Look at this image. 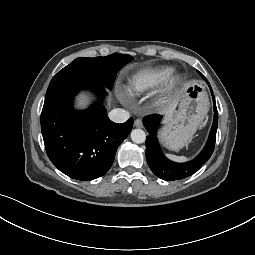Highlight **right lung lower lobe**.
I'll list each match as a JSON object with an SVG mask.
<instances>
[{
	"mask_svg": "<svg viewBox=\"0 0 255 255\" xmlns=\"http://www.w3.org/2000/svg\"><path fill=\"white\" fill-rule=\"evenodd\" d=\"M84 88L99 95L105 93L103 85L86 80L50 84L41 113V130L51 162L67 176L89 181L110 169L117 148L131 132L133 119L114 123L101 103L83 112L75 111L73 97Z\"/></svg>",
	"mask_w": 255,
	"mask_h": 255,
	"instance_id": "obj_1",
	"label": "right lung lower lobe"
}]
</instances>
